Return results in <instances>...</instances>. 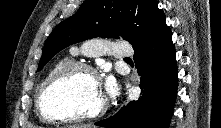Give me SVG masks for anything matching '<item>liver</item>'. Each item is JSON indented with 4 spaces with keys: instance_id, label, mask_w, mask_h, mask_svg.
<instances>
[{
    "instance_id": "6515ba94",
    "label": "liver",
    "mask_w": 221,
    "mask_h": 128,
    "mask_svg": "<svg viewBox=\"0 0 221 128\" xmlns=\"http://www.w3.org/2000/svg\"><path fill=\"white\" fill-rule=\"evenodd\" d=\"M67 128H95L93 125H70Z\"/></svg>"
}]
</instances>
